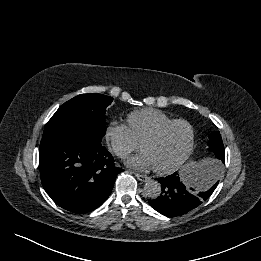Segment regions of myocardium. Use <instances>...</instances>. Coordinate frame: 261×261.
<instances>
[{"instance_id":"1","label":"myocardium","mask_w":261,"mask_h":261,"mask_svg":"<svg viewBox=\"0 0 261 261\" xmlns=\"http://www.w3.org/2000/svg\"><path fill=\"white\" fill-rule=\"evenodd\" d=\"M176 124H183V125L187 126L189 129L190 137H189V143H188L187 149L184 152V154L182 155V157L179 160H177L174 164H172L168 167H164V168L154 167V171L159 174L165 175V174L173 173L174 171L179 169L189 159V157L191 156V154L193 152L194 146H195V128H194V126L185 119H172V120L167 121V122L163 123L162 125H160L155 131H153L151 134L146 136L141 142V148L143 149V147L146 143L159 139L168 128H170L171 126L176 125Z\"/></svg>"}]
</instances>
